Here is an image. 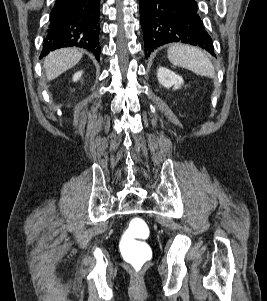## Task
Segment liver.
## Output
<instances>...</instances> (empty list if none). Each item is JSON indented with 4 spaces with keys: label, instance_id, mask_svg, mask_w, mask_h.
<instances>
[{
    "label": "liver",
    "instance_id": "1",
    "mask_svg": "<svg viewBox=\"0 0 267 301\" xmlns=\"http://www.w3.org/2000/svg\"><path fill=\"white\" fill-rule=\"evenodd\" d=\"M82 55L77 48H63L49 53L44 59L47 80H53L74 67L81 60Z\"/></svg>",
    "mask_w": 267,
    "mask_h": 301
}]
</instances>
